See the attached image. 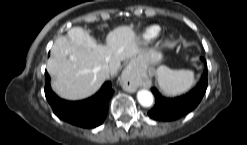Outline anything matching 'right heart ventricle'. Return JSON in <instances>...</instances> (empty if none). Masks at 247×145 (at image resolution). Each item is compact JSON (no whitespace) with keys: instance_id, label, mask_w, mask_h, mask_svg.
Wrapping results in <instances>:
<instances>
[{"instance_id":"obj_1","label":"right heart ventricle","mask_w":247,"mask_h":145,"mask_svg":"<svg viewBox=\"0 0 247 145\" xmlns=\"http://www.w3.org/2000/svg\"><path fill=\"white\" fill-rule=\"evenodd\" d=\"M161 33V28L158 25L146 27L140 34V41L144 44L153 42Z\"/></svg>"}]
</instances>
